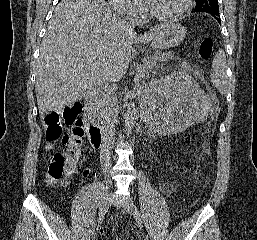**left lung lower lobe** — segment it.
Segmentation results:
<instances>
[{
    "instance_id": "obj_1",
    "label": "left lung lower lobe",
    "mask_w": 257,
    "mask_h": 240,
    "mask_svg": "<svg viewBox=\"0 0 257 240\" xmlns=\"http://www.w3.org/2000/svg\"><path fill=\"white\" fill-rule=\"evenodd\" d=\"M209 14H211L219 22V24H221V19H220L219 15H216V14H213V13H209Z\"/></svg>"
}]
</instances>
